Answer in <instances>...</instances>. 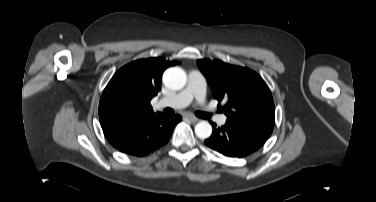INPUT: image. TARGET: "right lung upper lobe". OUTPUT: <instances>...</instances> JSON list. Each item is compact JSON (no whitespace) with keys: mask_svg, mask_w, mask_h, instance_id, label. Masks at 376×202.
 Returning <instances> with one entry per match:
<instances>
[{"mask_svg":"<svg viewBox=\"0 0 376 202\" xmlns=\"http://www.w3.org/2000/svg\"><path fill=\"white\" fill-rule=\"evenodd\" d=\"M175 64L162 58L141 59L116 72L99 103L100 124L106 137L155 114L150 101L160 90L163 71Z\"/></svg>","mask_w":376,"mask_h":202,"instance_id":"cb5924a9","label":"right lung upper lobe"}]
</instances>
